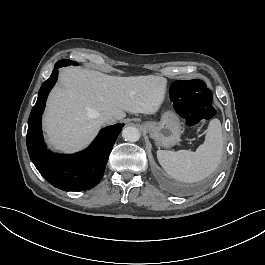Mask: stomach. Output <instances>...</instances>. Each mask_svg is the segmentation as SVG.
<instances>
[{"mask_svg":"<svg viewBox=\"0 0 265 265\" xmlns=\"http://www.w3.org/2000/svg\"><path fill=\"white\" fill-rule=\"evenodd\" d=\"M143 126L159 147L170 148L180 140L181 123L172 111L163 113L160 122L148 121Z\"/></svg>","mask_w":265,"mask_h":265,"instance_id":"stomach-1","label":"stomach"}]
</instances>
